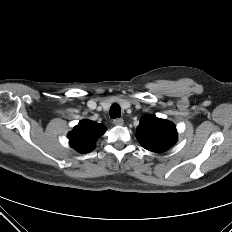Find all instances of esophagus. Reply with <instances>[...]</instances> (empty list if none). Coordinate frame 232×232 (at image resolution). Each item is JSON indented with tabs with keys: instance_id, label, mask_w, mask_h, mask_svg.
<instances>
[{
	"instance_id": "obj_1",
	"label": "esophagus",
	"mask_w": 232,
	"mask_h": 232,
	"mask_svg": "<svg viewBox=\"0 0 232 232\" xmlns=\"http://www.w3.org/2000/svg\"><path fill=\"white\" fill-rule=\"evenodd\" d=\"M113 123L116 125V126H122L123 123H124V120L122 118H116L113 120Z\"/></svg>"
}]
</instances>
